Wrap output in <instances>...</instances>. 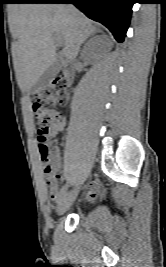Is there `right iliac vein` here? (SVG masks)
Here are the masks:
<instances>
[{"mask_svg": "<svg viewBox=\"0 0 166 267\" xmlns=\"http://www.w3.org/2000/svg\"><path fill=\"white\" fill-rule=\"evenodd\" d=\"M79 192V186L68 192L58 203L57 214L62 215L70 207L73 201L76 199Z\"/></svg>", "mask_w": 166, "mask_h": 267, "instance_id": "obj_1", "label": "right iliac vein"}]
</instances>
